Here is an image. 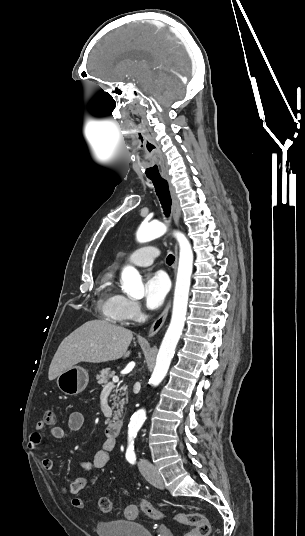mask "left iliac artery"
I'll list each match as a JSON object with an SVG mask.
<instances>
[{"label": "left iliac artery", "mask_w": 305, "mask_h": 536, "mask_svg": "<svg viewBox=\"0 0 305 536\" xmlns=\"http://www.w3.org/2000/svg\"><path fill=\"white\" fill-rule=\"evenodd\" d=\"M127 460H128L131 464H134L135 461H136V457H135V456H129V457H127Z\"/></svg>", "instance_id": "1"}]
</instances>
